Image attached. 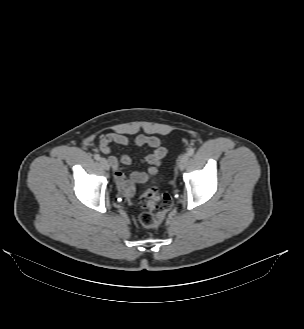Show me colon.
Segmentation results:
<instances>
[{
	"label": "colon",
	"mask_w": 304,
	"mask_h": 329,
	"mask_svg": "<svg viewBox=\"0 0 304 329\" xmlns=\"http://www.w3.org/2000/svg\"><path fill=\"white\" fill-rule=\"evenodd\" d=\"M141 206L147 211L139 216V223L145 228H157L172 206V198L156 188L147 191L141 200Z\"/></svg>",
	"instance_id": "obj_1"
}]
</instances>
